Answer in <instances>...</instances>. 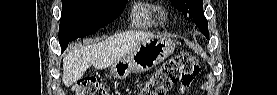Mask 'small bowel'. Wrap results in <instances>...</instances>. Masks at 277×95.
<instances>
[{
	"label": "small bowel",
	"instance_id": "obj_1",
	"mask_svg": "<svg viewBox=\"0 0 277 95\" xmlns=\"http://www.w3.org/2000/svg\"><path fill=\"white\" fill-rule=\"evenodd\" d=\"M191 84H192V78L188 79V80L181 81L180 85H179L180 94H184L185 90H187L188 88L191 87Z\"/></svg>",
	"mask_w": 277,
	"mask_h": 95
}]
</instances>
